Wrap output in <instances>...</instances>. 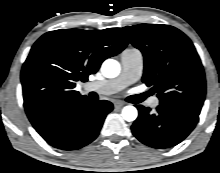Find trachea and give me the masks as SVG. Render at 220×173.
Returning <instances> with one entry per match:
<instances>
[{"instance_id": "trachea-1", "label": "trachea", "mask_w": 220, "mask_h": 173, "mask_svg": "<svg viewBox=\"0 0 220 173\" xmlns=\"http://www.w3.org/2000/svg\"><path fill=\"white\" fill-rule=\"evenodd\" d=\"M149 95H150L149 92L138 94V95H132L128 97L127 101L130 103H140L144 101Z\"/></svg>"}]
</instances>
